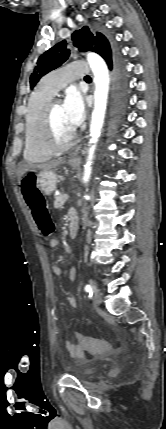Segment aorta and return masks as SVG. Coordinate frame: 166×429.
I'll return each mask as SVG.
<instances>
[{"label": "aorta", "instance_id": "762f6f07", "mask_svg": "<svg viewBox=\"0 0 166 429\" xmlns=\"http://www.w3.org/2000/svg\"><path fill=\"white\" fill-rule=\"evenodd\" d=\"M87 61L94 75L95 91H94V109L90 123V148L88 158L84 166L83 180L87 183L91 176L92 160L96 149V143L101 134V129L104 123L107 97L109 91V72L105 61L95 53L87 54ZM87 196H85L86 198Z\"/></svg>", "mask_w": 166, "mask_h": 429}]
</instances>
